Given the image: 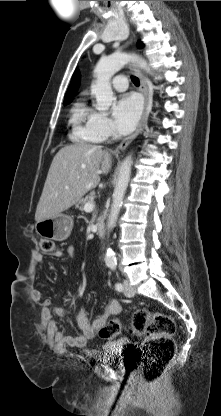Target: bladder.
Masks as SVG:
<instances>
[{
    "instance_id": "obj_1",
    "label": "bladder",
    "mask_w": 221,
    "mask_h": 416,
    "mask_svg": "<svg viewBox=\"0 0 221 416\" xmlns=\"http://www.w3.org/2000/svg\"><path fill=\"white\" fill-rule=\"evenodd\" d=\"M114 354L112 351H110L109 347L107 345L103 346V355L101 358L102 363L106 365H114L113 362ZM116 368H123L121 365H115Z\"/></svg>"
}]
</instances>
